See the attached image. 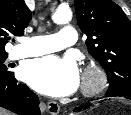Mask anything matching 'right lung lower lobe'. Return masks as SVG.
Masks as SVG:
<instances>
[{"label":"right lung lower lobe","mask_w":131,"mask_h":115,"mask_svg":"<svg viewBox=\"0 0 131 115\" xmlns=\"http://www.w3.org/2000/svg\"><path fill=\"white\" fill-rule=\"evenodd\" d=\"M0 106L18 115H40L39 98L25 84L18 83L14 73L0 78Z\"/></svg>","instance_id":"right-lung-lower-lobe-1"}]
</instances>
